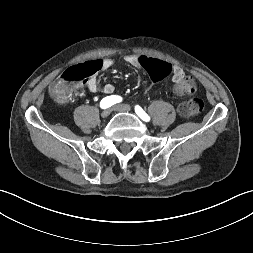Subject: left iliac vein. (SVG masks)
Segmentation results:
<instances>
[{
	"label": "left iliac vein",
	"instance_id": "obj_1",
	"mask_svg": "<svg viewBox=\"0 0 253 253\" xmlns=\"http://www.w3.org/2000/svg\"><path fill=\"white\" fill-rule=\"evenodd\" d=\"M113 110L117 111V112H131L132 108H131V106H129L127 104H119V105H115L113 107Z\"/></svg>",
	"mask_w": 253,
	"mask_h": 253
}]
</instances>
